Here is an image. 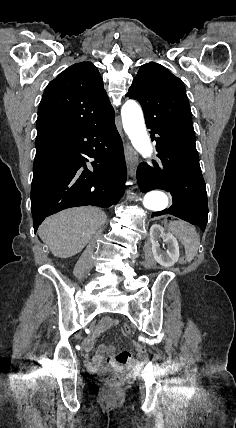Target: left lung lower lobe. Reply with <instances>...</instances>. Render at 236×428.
<instances>
[{
	"label": "left lung lower lobe",
	"instance_id": "obj_1",
	"mask_svg": "<svg viewBox=\"0 0 236 428\" xmlns=\"http://www.w3.org/2000/svg\"><path fill=\"white\" fill-rule=\"evenodd\" d=\"M161 165L155 169L142 163L137 170L140 190L144 193L161 189L172 195L173 204L151 217L174 215L204 232L208 218V201L195 141L182 137L166 125L147 124Z\"/></svg>",
	"mask_w": 236,
	"mask_h": 428
}]
</instances>
